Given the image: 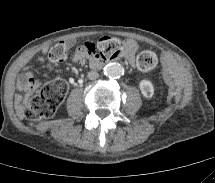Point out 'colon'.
<instances>
[{
	"instance_id": "1",
	"label": "colon",
	"mask_w": 215,
	"mask_h": 183,
	"mask_svg": "<svg viewBox=\"0 0 215 183\" xmlns=\"http://www.w3.org/2000/svg\"><path fill=\"white\" fill-rule=\"evenodd\" d=\"M86 55L96 60H110L123 51L122 42L114 37H103L96 42H87L80 47ZM69 54V45L65 42L54 44L49 51V58L54 63L63 62ZM137 66L143 72H151L157 66V56L150 50L137 55ZM68 84L62 79L52 80L31 97L22 108V115L32 121H41L52 117L64 100Z\"/></svg>"
}]
</instances>
